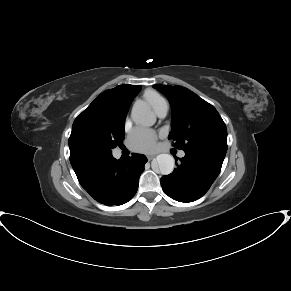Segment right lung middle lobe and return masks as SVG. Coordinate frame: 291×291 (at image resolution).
<instances>
[{
  "instance_id": "1",
  "label": "right lung middle lobe",
  "mask_w": 291,
  "mask_h": 291,
  "mask_svg": "<svg viewBox=\"0 0 291 291\" xmlns=\"http://www.w3.org/2000/svg\"><path fill=\"white\" fill-rule=\"evenodd\" d=\"M125 115L112 110L98 111L81 119L69 138L70 153H112L124 138Z\"/></svg>"
}]
</instances>
